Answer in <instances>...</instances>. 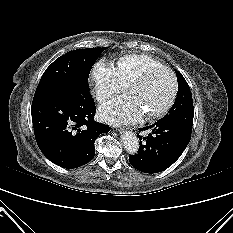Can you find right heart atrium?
Returning a JSON list of instances; mask_svg holds the SVG:
<instances>
[{
    "label": "right heart atrium",
    "instance_id": "d8ad5b80",
    "mask_svg": "<svg viewBox=\"0 0 233 233\" xmlns=\"http://www.w3.org/2000/svg\"><path fill=\"white\" fill-rule=\"evenodd\" d=\"M95 95L99 102H105L126 88L117 68L104 60L97 62L91 73Z\"/></svg>",
    "mask_w": 233,
    "mask_h": 233
}]
</instances>
